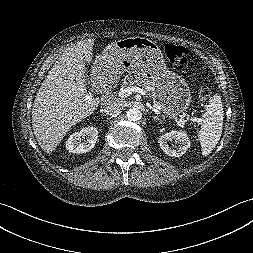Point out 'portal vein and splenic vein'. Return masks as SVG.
Returning <instances> with one entry per match:
<instances>
[{"label": "portal vein and splenic vein", "mask_w": 253, "mask_h": 253, "mask_svg": "<svg viewBox=\"0 0 253 253\" xmlns=\"http://www.w3.org/2000/svg\"><path fill=\"white\" fill-rule=\"evenodd\" d=\"M133 92H138L142 95L145 94V91L143 89L136 86V87H126L124 89H121L119 91L118 95L122 98H126V97L130 96ZM91 98H92V95L88 94L87 99H91ZM190 120H193V121L197 122L198 124H200L202 121V119H200V118H190ZM179 121L181 124H185V120L180 119Z\"/></svg>", "instance_id": "obj_1"}]
</instances>
